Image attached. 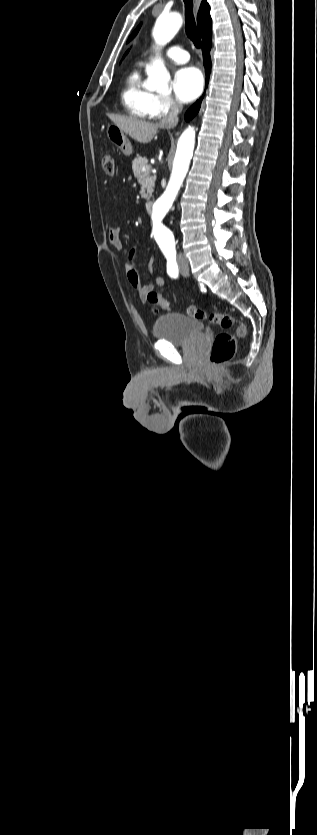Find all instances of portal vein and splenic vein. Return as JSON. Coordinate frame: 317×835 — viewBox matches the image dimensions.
Masks as SVG:
<instances>
[{"label": "portal vein and splenic vein", "instance_id": "obj_1", "mask_svg": "<svg viewBox=\"0 0 317 835\" xmlns=\"http://www.w3.org/2000/svg\"><path fill=\"white\" fill-rule=\"evenodd\" d=\"M148 169H149L148 167H143V168H142V171H144V172H145V171H147Z\"/></svg>", "mask_w": 317, "mask_h": 835}]
</instances>
